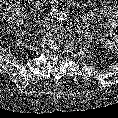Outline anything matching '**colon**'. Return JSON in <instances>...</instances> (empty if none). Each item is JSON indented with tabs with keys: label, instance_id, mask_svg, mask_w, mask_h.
<instances>
[{
	"label": "colon",
	"instance_id": "colon-1",
	"mask_svg": "<svg viewBox=\"0 0 118 118\" xmlns=\"http://www.w3.org/2000/svg\"><path fill=\"white\" fill-rule=\"evenodd\" d=\"M32 7L31 0H0V15L13 18L27 14Z\"/></svg>",
	"mask_w": 118,
	"mask_h": 118
}]
</instances>
